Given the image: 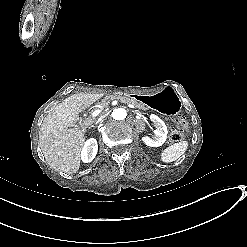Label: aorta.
<instances>
[{"mask_svg":"<svg viewBox=\"0 0 247 247\" xmlns=\"http://www.w3.org/2000/svg\"><path fill=\"white\" fill-rule=\"evenodd\" d=\"M127 116V112L123 108L114 109L112 112V117L115 120H124Z\"/></svg>","mask_w":247,"mask_h":247,"instance_id":"aorta-1","label":"aorta"}]
</instances>
